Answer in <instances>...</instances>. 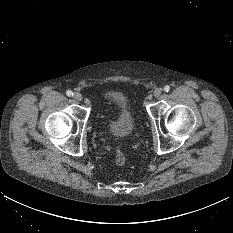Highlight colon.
<instances>
[{
  "label": "colon",
  "mask_w": 233,
  "mask_h": 233,
  "mask_svg": "<svg viewBox=\"0 0 233 233\" xmlns=\"http://www.w3.org/2000/svg\"><path fill=\"white\" fill-rule=\"evenodd\" d=\"M115 162L117 165H124L126 162V156L121 150H118L115 155Z\"/></svg>",
  "instance_id": "obj_1"
}]
</instances>
